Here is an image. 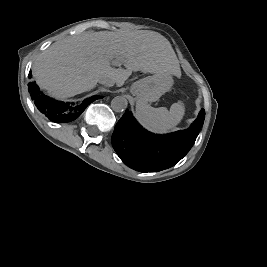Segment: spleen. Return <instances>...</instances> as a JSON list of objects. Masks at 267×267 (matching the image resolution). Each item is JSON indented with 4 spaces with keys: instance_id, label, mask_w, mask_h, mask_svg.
Masks as SVG:
<instances>
[{
    "instance_id": "spleen-1",
    "label": "spleen",
    "mask_w": 267,
    "mask_h": 267,
    "mask_svg": "<svg viewBox=\"0 0 267 267\" xmlns=\"http://www.w3.org/2000/svg\"><path fill=\"white\" fill-rule=\"evenodd\" d=\"M185 108L181 102L166 107L154 108L146 103H136V118L148 131L156 134H165L176 127L183 119Z\"/></svg>"
}]
</instances>
